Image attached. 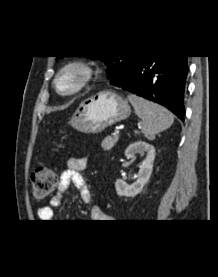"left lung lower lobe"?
I'll return each instance as SVG.
<instances>
[{
    "label": "left lung lower lobe",
    "instance_id": "obj_1",
    "mask_svg": "<svg viewBox=\"0 0 218 277\" xmlns=\"http://www.w3.org/2000/svg\"><path fill=\"white\" fill-rule=\"evenodd\" d=\"M187 56L134 55L110 83L159 103L184 120Z\"/></svg>",
    "mask_w": 218,
    "mask_h": 277
}]
</instances>
